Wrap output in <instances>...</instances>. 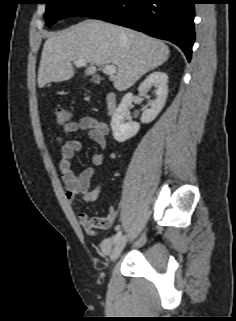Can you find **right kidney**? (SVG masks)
Masks as SVG:
<instances>
[{
	"instance_id": "1",
	"label": "right kidney",
	"mask_w": 236,
	"mask_h": 321,
	"mask_svg": "<svg viewBox=\"0 0 236 321\" xmlns=\"http://www.w3.org/2000/svg\"><path fill=\"white\" fill-rule=\"evenodd\" d=\"M155 84L157 89L156 99L149 102L150 108L146 109L141 117L142 123L152 122L163 109L168 94V75L161 71H155L149 74L146 79L139 85L138 91L145 97L148 88ZM133 101V94L128 93L119 104L111 120L113 137L118 142H124L135 136L140 129L139 123L132 122L129 117V107Z\"/></svg>"
}]
</instances>
